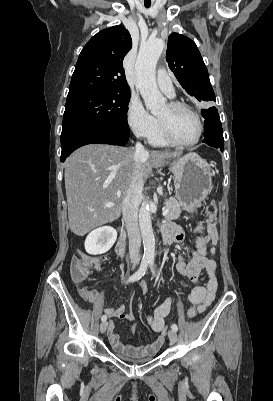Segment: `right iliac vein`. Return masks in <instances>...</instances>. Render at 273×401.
<instances>
[{
  "mask_svg": "<svg viewBox=\"0 0 273 401\" xmlns=\"http://www.w3.org/2000/svg\"><path fill=\"white\" fill-rule=\"evenodd\" d=\"M107 327H108V322H107V321H103V322L100 324V332H101V333H104V332L107 330Z\"/></svg>",
  "mask_w": 273,
  "mask_h": 401,
  "instance_id": "obj_1",
  "label": "right iliac vein"
}]
</instances>
